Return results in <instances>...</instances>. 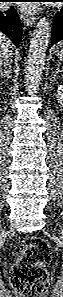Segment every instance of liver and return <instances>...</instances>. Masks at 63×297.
<instances>
[{
	"label": "liver",
	"mask_w": 63,
	"mask_h": 297,
	"mask_svg": "<svg viewBox=\"0 0 63 297\" xmlns=\"http://www.w3.org/2000/svg\"><path fill=\"white\" fill-rule=\"evenodd\" d=\"M11 41L4 35H0V60L2 57L11 54Z\"/></svg>",
	"instance_id": "obj_1"
}]
</instances>
